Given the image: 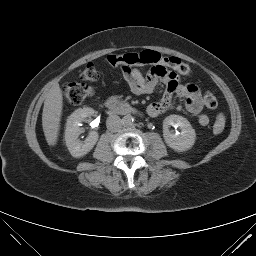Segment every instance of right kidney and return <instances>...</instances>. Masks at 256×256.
Masks as SVG:
<instances>
[{"label":"right kidney","instance_id":"right-kidney-1","mask_svg":"<svg viewBox=\"0 0 256 256\" xmlns=\"http://www.w3.org/2000/svg\"><path fill=\"white\" fill-rule=\"evenodd\" d=\"M92 108L84 107L75 110L67 119L65 129V142L66 146L75 158H80L86 155L98 141V133L92 131L84 142L78 139L79 135L84 132V129L80 127L81 122L84 119L94 115Z\"/></svg>","mask_w":256,"mask_h":256}]
</instances>
